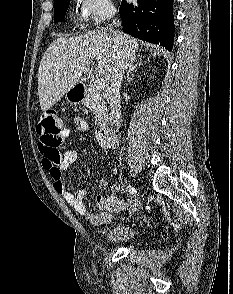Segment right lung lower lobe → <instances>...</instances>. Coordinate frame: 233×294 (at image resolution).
<instances>
[{"label": "right lung lower lobe", "mask_w": 233, "mask_h": 294, "mask_svg": "<svg viewBox=\"0 0 233 294\" xmlns=\"http://www.w3.org/2000/svg\"><path fill=\"white\" fill-rule=\"evenodd\" d=\"M174 0H137L138 4L122 1L119 13L123 31L146 42L172 50L174 41Z\"/></svg>", "instance_id": "obj_1"}]
</instances>
